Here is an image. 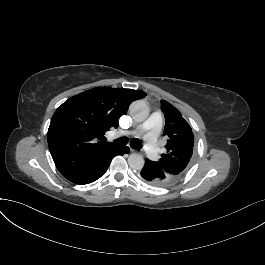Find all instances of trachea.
Listing matches in <instances>:
<instances>
[{"mask_svg": "<svg viewBox=\"0 0 265 265\" xmlns=\"http://www.w3.org/2000/svg\"><path fill=\"white\" fill-rule=\"evenodd\" d=\"M127 142H128V139L126 137H121L113 141V143L117 146H125ZM131 147L134 149H140L142 148V143L139 139H133L131 141Z\"/></svg>", "mask_w": 265, "mask_h": 265, "instance_id": "1", "label": "trachea"}]
</instances>
